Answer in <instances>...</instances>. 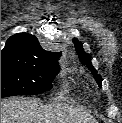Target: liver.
I'll list each match as a JSON object with an SVG mask.
<instances>
[{
  "mask_svg": "<svg viewBox=\"0 0 122 123\" xmlns=\"http://www.w3.org/2000/svg\"><path fill=\"white\" fill-rule=\"evenodd\" d=\"M1 123H97L87 112L68 104L44 105L36 99L1 102Z\"/></svg>",
  "mask_w": 122,
  "mask_h": 123,
  "instance_id": "1",
  "label": "liver"
}]
</instances>
